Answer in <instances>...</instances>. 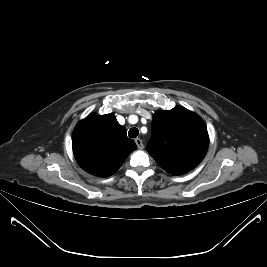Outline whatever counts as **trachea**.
<instances>
[{
    "label": "trachea",
    "instance_id": "trachea-1",
    "mask_svg": "<svg viewBox=\"0 0 267 267\" xmlns=\"http://www.w3.org/2000/svg\"><path fill=\"white\" fill-rule=\"evenodd\" d=\"M139 134V130L137 128H131L128 132V136L130 138H136Z\"/></svg>",
    "mask_w": 267,
    "mask_h": 267
}]
</instances>
